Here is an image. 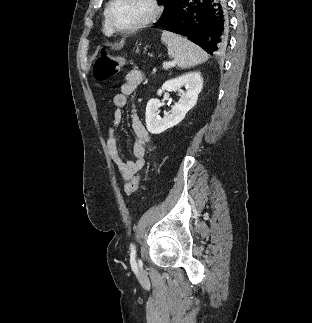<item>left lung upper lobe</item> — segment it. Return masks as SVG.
<instances>
[{"mask_svg":"<svg viewBox=\"0 0 312 323\" xmlns=\"http://www.w3.org/2000/svg\"><path fill=\"white\" fill-rule=\"evenodd\" d=\"M158 2L164 5V11L160 20L156 23V27L162 25L171 17L178 0H158Z\"/></svg>","mask_w":312,"mask_h":323,"instance_id":"1","label":"left lung upper lobe"}]
</instances>
